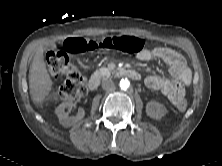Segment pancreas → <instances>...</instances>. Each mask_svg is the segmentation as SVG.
Returning <instances> with one entry per match:
<instances>
[{
  "label": "pancreas",
  "instance_id": "obj_1",
  "mask_svg": "<svg viewBox=\"0 0 222 166\" xmlns=\"http://www.w3.org/2000/svg\"><path fill=\"white\" fill-rule=\"evenodd\" d=\"M114 73V71L110 70L109 68L102 67L101 69L96 71V74L103 77L108 78L111 76V74Z\"/></svg>",
  "mask_w": 222,
  "mask_h": 166
}]
</instances>
